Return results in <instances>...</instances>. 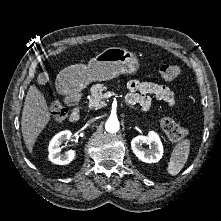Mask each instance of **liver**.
Masks as SVG:
<instances>
[{
    "label": "liver",
    "instance_id": "obj_1",
    "mask_svg": "<svg viewBox=\"0 0 221 221\" xmlns=\"http://www.w3.org/2000/svg\"><path fill=\"white\" fill-rule=\"evenodd\" d=\"M46 99L36 86L28 89L21 118V131L28 151H33L37 137L50 121Z\"/></svg>",
    "mask_w": 221,
    "mask_h": 221
}]
</instances>
